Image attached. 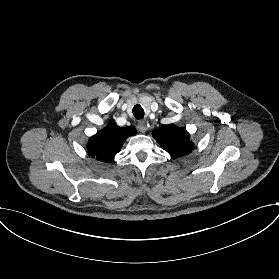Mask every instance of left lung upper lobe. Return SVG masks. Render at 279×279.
Instances as JSON below:
<instances>
[{"label":"left lung upper lobe","instance_id":"obj_1","mask_svg":"<svg viewBox=\"0 0 279 279\" xmlns=\"http://www.w3.org/2000/svg\"><path fill=\"white\" fill-rule=\"evenodd\" d=\"M152 135L173 158L186 155L194 148L184 127H177L173 124L162 125L161 128L155 129Z\"/></svg>","mask_w":279,"mask_h":279}]
</instances>
